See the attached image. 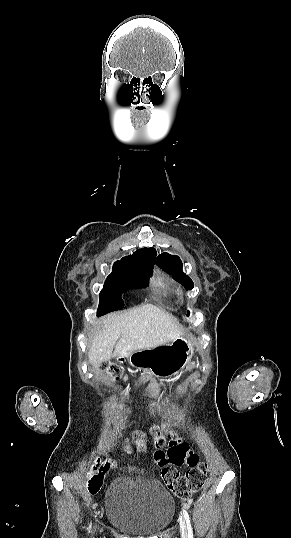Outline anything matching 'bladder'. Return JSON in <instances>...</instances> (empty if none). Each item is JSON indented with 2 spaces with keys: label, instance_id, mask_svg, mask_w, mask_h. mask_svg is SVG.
Returning <instances> with one entry per match:
<instances>
[{
  "label": "bladder",
  "instance_id": "bladder-1",
  "mask_svg": "<svg viewBox=\"0 0 291 538\" xmlns=\"http://www.w3.org/2000/svg\"><path fill=\"white\" fill-rule=\"evenodd\" d=\"M105 503L109 524L134 538H149L160 533L174 514L171 495L139 467H126L112 477Z\"/></svg>",
  "mask_w": 291,
  "mask_h": 538
}]
</instances>
